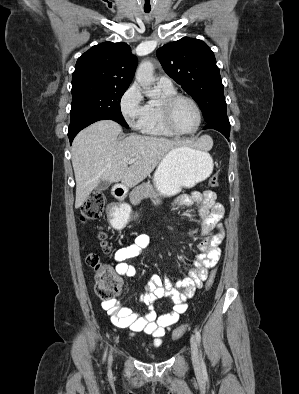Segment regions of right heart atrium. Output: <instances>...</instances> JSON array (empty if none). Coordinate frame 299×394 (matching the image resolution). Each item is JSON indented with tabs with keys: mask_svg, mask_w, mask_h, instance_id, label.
Wrapping results in <instances>:
<instances>
[{
	"mask_svg": "<svg viewBox=\"0 0 299 394\" xmlns=\"http://www.w3.org/2000/svg\"><path fill=\"white\" fill-rule=\"evenodd\" d=\"M121 112L132 129H141L146 113V105L139 86L134 83L123 94L120 102Z\"/></svg>",
	"mask_w": 299,
	"mask_h": 394,
	"instance_id": "obj_1",
	"label": "right heart atrium"
}]
</instances>
